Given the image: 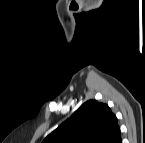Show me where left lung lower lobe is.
Instances as JSON below:
<instances>
[{
	"mask_svg": "<svg viewBox=\"0 0 145 143\" xmlns=\"http://www.w3.org/2000/svg\"><path fill=\"white\" fill-rule=\"evenodd\" d=\"M117 143H122V140H121V138L119 139V141H118Z\"/></svg>",
	"mask_w": 145,
	"mask_h": 143,
	"instance_id": "obj_1",
	"label": "left lung lower lobe"
}]
</instances>
